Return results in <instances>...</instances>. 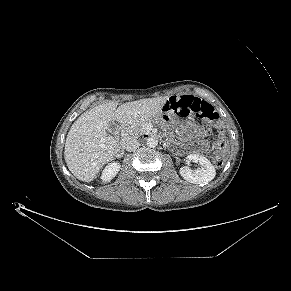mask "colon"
<instances>
[{"instance_id": "obj_1", "label": "colon", "mask_w": 291, "mask_h": 291, "mask_svg": "<svg viewBox=\"0 0 291 291\" xmlns=\"http://www.w3.org/2000/svg\"><path fill=\"white\" fill-rule=\"evenodd\" d=\"M165 111L170 112L179 117L196 115L210 122L216 123L219 115L215 108L208 102L195 97L174 96L165 104ZM228 151V143L224 139H219L216 143V156L214 165L218 168L225 163L226 153Z\"/></svg>"}]
</instances>
